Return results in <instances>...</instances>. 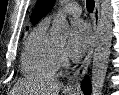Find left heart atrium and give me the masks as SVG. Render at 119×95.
<instances>
[{
	"label": "left heart atrium",
	"mask_w": 119,
	"mask_h": 95,
	"mask_svg": "<svg viewBox=\"0 0 119 95\" xmlns=\"http://www.w3.org/2000/svg\"><path fill=\"white\" fill-rule=\"evenodd\" d=\"M91 40L92 32L90 26L82 20L73 21L66 46V54L72 58L80 57L88 48Z\"/></svg>",
	"instance_id": "obj_1"
}]
</instances>
